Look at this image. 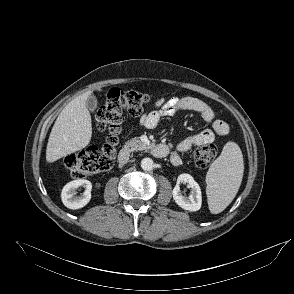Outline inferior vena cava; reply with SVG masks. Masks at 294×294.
<instances>
[{
	"instance_id": "obj_1",
	"label": "inferior vena cava",
	"mask_w": 294,
	"mask_h": 294,
	"mask_svg": "<svg viewBox=\"0 0 294 294\" xmlns=\"http://www.w3.org/2000/svg\"><path fill=\"white\" fill-rule=\"evenodd\" d=\"M122 163H125V162H127V160L125 159V160H123V161H121Z\"/></svg>"
}]
</instances>
